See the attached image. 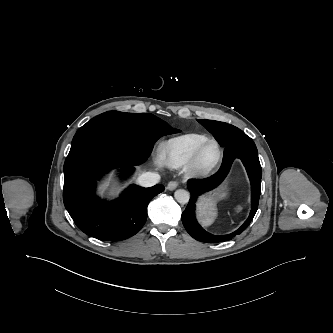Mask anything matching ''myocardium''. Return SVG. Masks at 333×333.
Listing matches in <instances>:
<instances>
[{
	"label": "myocardium",
	"instance_id": "myocardium-1",
	"mask_svg": "<svg viewBox=\"0 0 333 333\" xmlns=\"http://www.w3.org/2000/svg\"><path fill=\"white\" fill-rule=\"evenodd\" d=\"M210 145H213L216 148L217 157L212 163L205 165L202 163L201 158L204 150ZM223 155L224 152L221 145L214 139H208L203 144H201L199 148L196 150L191 161L188 164V168L196 175L199 176L208 175L218 167V165L221 163L223 159Z\"/></svg>",
	"mask_w": 333,
	"mask_h": 333
}]
</instances>
